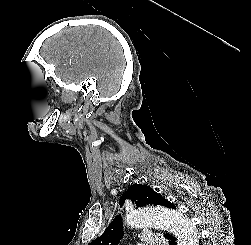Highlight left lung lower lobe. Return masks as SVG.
Returning a JSON list of instances; mask_svg holds the SVG:
<instances>
[{"label": "left lung lower lobe", "mask_w": 251, "mask_h": 245, "mask_svg": "<svg viewBox=\"0 0 251 245\" xmlns=\"http://www.w3.org/2000/svg\"><path fill=\"white\" fill-rule=\"evenodd\" d=\"M164 236L169 240L170 245H176V238L172 234L164 233Z\"/></svg>", "instance_id": "left-lung-lower-lobe-1"}]
</instances>
